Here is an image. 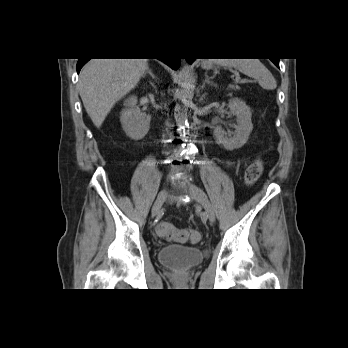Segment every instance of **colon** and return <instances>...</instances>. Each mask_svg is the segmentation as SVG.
I'll return each instance as SVG.
<instances>
[{"instance_id":"5ec220e1","label":"colon","mask_w":348,"mask_h":348,"mask_svg":"<svg viewBox=\"0 0 348 348\" xmlns=\"http://www.w3.org/2000/svg\"><path fill=\"white\" fill-rule=\"evenodd\" d=\"M264 164L261 158H256L245 171V182L253 185L257 182L263 173ZM157 234L159 237L180 242L198 243L201 235L198 231L192 229H177L172 223L161 222L157 225Z\"/></svg>"}]
</instances>
